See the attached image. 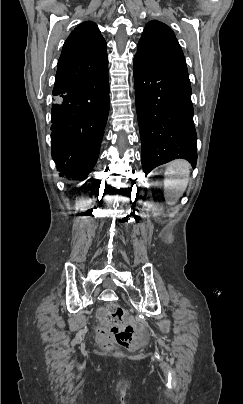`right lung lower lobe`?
Listing matches in <instances>:
<instances>
[{"mask_svg": "<svg viewBox=\"0 0 243 404\" xmlns=\"http://www.w3.org/2000/svg\"><path fill=\"white\" fill-rule=\"evenodd\" d=\"M53 96L52 158L58 171L85 179L98 159L109 113L108 68Z\"/></svg>", "mask_w": 243, "mask_h": 404, "instance_id": "right-lung-lower-lobe-1", "label": "right lung lower lobe"}]
</instances>
